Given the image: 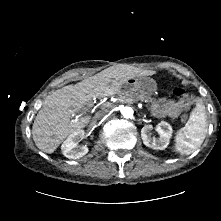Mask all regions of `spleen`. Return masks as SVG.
Returning a JSON list of instances; mask_svg holds the SVG:
<instances>
[{"label": "spleen", "mask_w": 221, "mask_h": 221, "mask_svg": "<svg viewBox=\"0 0 221 221\" xmlns=\"http://www.w3.org/2000/svg\"><path fill=\"white\" fill-rule=\"evenodd\" d=\"M207 126L205 105L200 98H196L195 107L190 113L189 120L176 133L174 150L181 154H191L203 143Z\"/></svg>", "instance_id": "spleen-1"}]
</instances>
